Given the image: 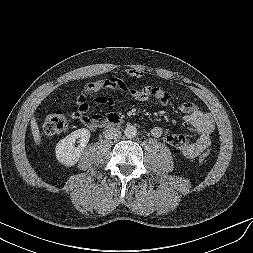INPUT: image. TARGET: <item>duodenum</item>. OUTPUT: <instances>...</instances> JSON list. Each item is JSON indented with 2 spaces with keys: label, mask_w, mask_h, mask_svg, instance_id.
Listing matches in <instances>:
<instances>
[{
  "label": "duodenum",
  "mask_w": 253,
  "mask_h": 253,
  "mask_svg": "<svg viewBox=\"0 0 253 253\" xmlns=\"http://www.w3.org/2000/svg\"><path fill=\"white\" fill-rule=\"evenodd\" d=\"M121 121H122L121 117H119V116H112L109 119L108 126L112 127V126L118 125V124L121 123Z\"/></svg>",
  "instance_id": "duodenum-1"
}]
</instances>
